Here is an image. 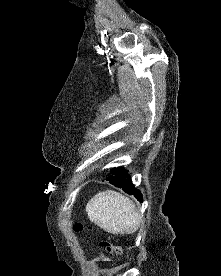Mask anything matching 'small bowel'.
Instances as JSON below:
<instances>
[{
    "mask_svg": "<svg viewBox=\"0 0 221 276\" xmlns=\"http://www.w3.org/2000/svg\"><path fill=\"white\" fill-rule=\"evenodd\" d=\"M101 258L106 261L107 260V257L105 255H101Z\"/></svg>",
    "mask_w": 221,
    "mask_h": 276,
    "instance_id": "small-bowel-1",
    "label": "small bowel"
}]
</instances>
